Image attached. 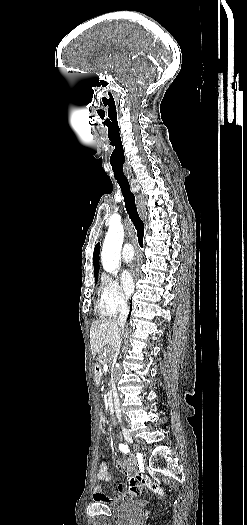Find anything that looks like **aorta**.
I'll use <instances>...</instances> for the list:
<instances>
[{
    "label": "aorta",
    "mask_w": 247,
    "mask_h": 525,
    "mask_svg": "<svg viewBox=\"0 0 247 525\" xmlns=\"http://www.w3.org/2000/svg\"><path fill=\"white\" fill-rule=\"evenodd\" d=\"M123 238L124 229L121 224L111 225L109 227L101 252V262L106 272H116L119 265Z\"/></svg>",
    "instance_id": "obj_1"
}]
</instances>
